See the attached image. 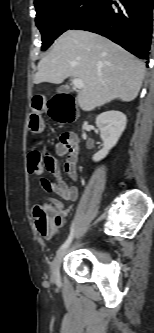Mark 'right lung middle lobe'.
Masks as SVG:
<instances>
[{
  "label": "right lung middle lobe",
  "instance_id": "obj_1",
  "mask_svg": "<svg viewBox=\"0 0 154 333\" xmlns=\"http://www.w3.org/2000/svg\"><path fill=\"white\" fill-rule=\"evenodd\" d=\"M100 0H39L36 25L42 34V50L72 25L90 15Z\"/></svg>",
  "mask_w": 154,
  "mask_h": 333
}]
</instances>
